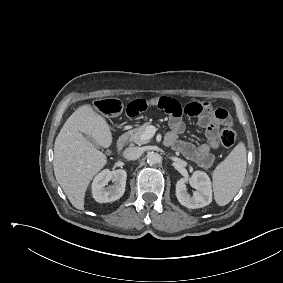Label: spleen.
I'll return each mask as SVG.
<instances>
[{"mask_svg":"<svg viewBox=\"0 0 283 283\" xmlns=\"http://www.w3.org/2000/svg\"><path fill=\"white\" fill-rule=\"evenodd\" d=\"M246 167V148L240 142L213 172L214 198L219 206H225L237 194L244 181Z\"/></svg>","mask_w":283,"mask_h":283,"instance_id":"spleen-1","label":"spleen"}]
</instances>
